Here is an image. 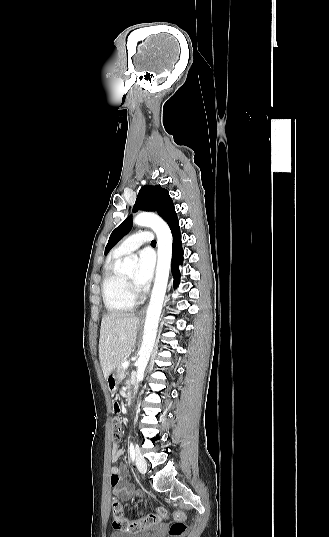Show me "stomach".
<instances>
[{
    "label": "stomach",
    "mask_w": 329,
    "mask_h": 537,
    "mask_svg": "<svg viewBox=\"0 0 329 537\" xmlns=\"http://www.w3.org/2000/svg\"><path fill=\"white\" fill-rule=\"evenodd\" d=\"M120 380L117 379V376L114 372H112L108 377H107V385H108V389L112 392H114L116 389H117V384L119 383Z\"/></svg>",
    "instance_id": "obj_1"
}]
</instances>
